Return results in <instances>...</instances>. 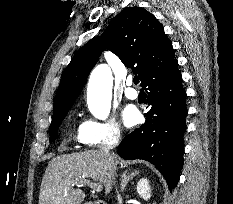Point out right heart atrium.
Listing matches in <instances>:
<instances>
[{"label":"right heart atrium","mask_w":233,"mask_h":204,"mask_svg":"<svg viewBox=\"0 0 233 204\" xmlns=\"http://www.w3.org/2000/svg\"><path fill=\"white\" fill-rule=\"evenodd\" d=\"M121 136L122 130L115 119H87L80 126L78 140L86 147H97L116 143Z\"/></svg>","instance_id":"1"}]
</instances>
